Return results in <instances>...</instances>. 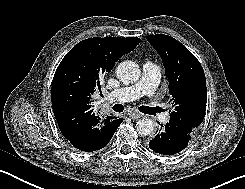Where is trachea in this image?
<instances>
[{"instance_id": "1", "label": "trachea", "mask_w": 245, "mask_h": 189, "mask_svg": "<svg viewBox=\"0 0 245 189\" xmlns=\"http://www.w3.org/2000/svg\"><path fill=\"white\" fill-rule=\"evenodd\" d=\"M113 110L116 111V112H123L124 110V107L122 104H115L113 107ZM151 108L150 107H147V106H141L139 107V110L143 113H147V111H149Z\"/></svg>"}]
</instances>
